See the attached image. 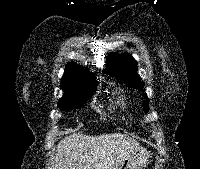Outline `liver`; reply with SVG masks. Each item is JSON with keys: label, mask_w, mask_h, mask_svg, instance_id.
I'll use <instances>...</instances> for the list:
<instances>
[{"label": "liver", "mask_w": 200, "mask_h": 169, "mask_svg": "<svg viewBox=\"0 0 200 169\" xmlns=\"http://www.w3.org/2000/svg\"><path fill=\"white\" fill-rule=\"evenodd\" d=\"M138 148L136 140L120 133H75L57 145L53 169H117Z\"/></svg>", "instance_id": "obj_1"}]
</instances>
